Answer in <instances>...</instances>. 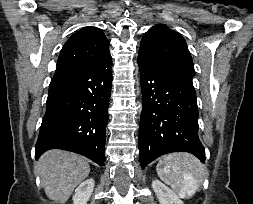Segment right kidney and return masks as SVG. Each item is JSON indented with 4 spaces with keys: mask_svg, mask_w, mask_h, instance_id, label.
Listing matches in <instances>:
<instances>
[{
    "mask_svg": "<svg viewBox=\"0 0 253 204\" xmlns=\"http://www.w3.org/2000/svg\"><path fill=\"white\" fill-rule=\"evenodd\" d=\"M95 182L92 178L82 182L75 190L73 195V204H87L94 190Z\"/></svg>",
    "mask_w": 253,
    "mask_h": 204,
    "instance_id": "1",
    "label": "right kidney"
}]
</instances>
